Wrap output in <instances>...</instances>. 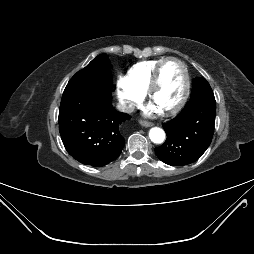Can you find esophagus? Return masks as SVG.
<instances>
[{"label":"esophagus","instance_id":"obj_1","mask_svg":"<svg viewBox=\"0 0 254 254\" xmlns=\"http://www.w3.org/2000/svg\"><path fill=\"white\" fill-rule=\"evenodd\" d=\"M139 123H140L143 127H151V126H153V124H152L151 122L144 121V120H140Z\"/></svg>","mask_w":254,"mask_h":254}]
</instances>
